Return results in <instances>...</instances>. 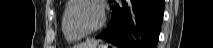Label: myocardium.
<instances>
[{"instance_id": "obj_1", "label": "myocardium", "mask_w": 213, "mask_h": 48, "mask_svg": "<svg viewBox=\"0 0 213 48\" xmlns=\"http://www.w3.org/2000/svg\"><path fill=\"white\" fill-rule=\"evenodd\" d=\"M84 1L95 3L100 8V11H101V18H100L98 25L95 28L90 29V30H83V29L79 28L72 19V12H73L74 8L79 3L84 2ZM66 21H67V25L70 28V30L73 33L79 35L80 37H86V36L93 35V34L97 33L98 31H100L106 22L105 5L100 0H70L68 8H67V12H66Z\"/></svg>"}]
</instances>
